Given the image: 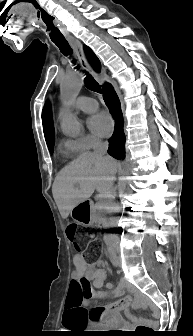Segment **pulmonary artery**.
Listing matches in <instances>:
<instances>
[{
    "label": "pulmonary artery",
    "mask_w": 193,
    "mask_h": 336,
    "mask_svg": "<svg viewBox=\"0 0 193 336\" xmlns=\"http://www.w3.org/2000/svg\"><path fill=\"white\" fill-rule=\"evenodd\" d=\"M75 108L86 113H92L97 110L98 103L93 98L82 96L76 100Z\"/></svg>",
    "instance_id": "obj_1"
}]
</instances>
